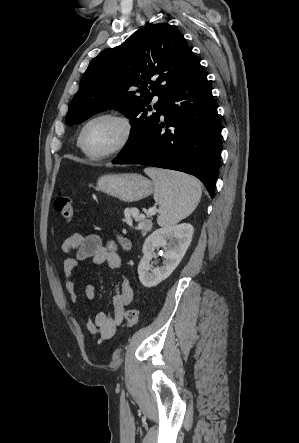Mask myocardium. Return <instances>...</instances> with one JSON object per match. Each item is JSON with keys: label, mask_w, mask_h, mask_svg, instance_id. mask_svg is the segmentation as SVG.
Masks as SVG:
<instances>
[{"label": "myocardium", "mask_w": 299, "mask_h": 443, "mask_svg": "<svg viewBox=\"0 0 299 443\" xmlns=\"http://www.w3.org/2000/svg\"><path fill=\"white\" fill-rule=\"evenodd\" d=\"M100 119H112V120H115L118 123H120L123 128V136H122L121 140L119 141V143L111 150L101 153V154H93L85 147V142H84L85 133H86L88 126L91 123H93L97 120H100ZM133 130H134L133 123L128 116L118 113V112H102V113H99V114L91 117L83 125V127L80 131V134H79L78 145H79L80 149L82 150V152L90 159H93V160L106 159V158L112 157V156L120 153L128 146V144L130 143L132 136H133Z\"/></svg>", "instance_id": "f54148a6"}]
</instances>
